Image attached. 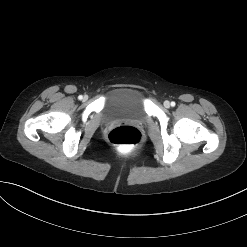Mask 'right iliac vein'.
Instances as JSON below:
<instances>
[{"mask_svg":"<svg viewBox=\"0 0 247 247\" xmlns=\"http://www.w3.org/2000/svg\"><path fill=\"white\" fill-rule=\"evenodd\" d=\"M87 99H88V96L85 95V96L83 97V101H86Z\"/></svg>","mask_w":247,"mask_h":247,"instance_id":"63e3f726","label":"right iliac vein"}]
</instances>
